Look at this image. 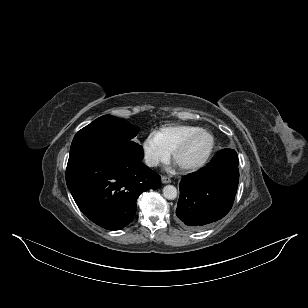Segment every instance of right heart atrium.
<instances>
[{
    "instance_id": "d8ad5b80",
    "label": "right heart atrium",
    "mask_w": 308,
    "mask_h": 308,
    "mask_svg": "<svg viewBox=\"0 0 308 308\" xmlns=\"http://www.w3.org/2000/svg\"><path fill=\"white\" fill-rule=\"evenodd\" d=\"M141 149L144 162L151 168L166 163L170 158V153L157 141L154 135H149L143 140Z\"/></svg>"
}]
</instances>
